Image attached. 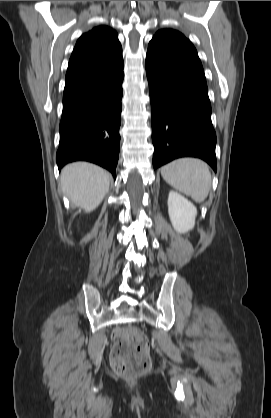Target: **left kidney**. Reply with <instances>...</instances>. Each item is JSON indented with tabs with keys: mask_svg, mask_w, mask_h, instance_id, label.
<instances>
[{
	"mask_svg": "<svg viewBox=\"0 0 271 418\" xmlns=\"http://www.w3.org/2000/svg\"><path fill=\"white\" fill-rule=\"evenodd\" d=\"M168 213L176 232L185 234L193 229L197 209L193 203L175 191L169 192Z\"/></svg>",
	"mask_w": 271,
	"mask_h": 418,
	"instance_id": "obj_1",
	"label": "left kidney"
}]
</instances>
